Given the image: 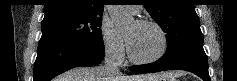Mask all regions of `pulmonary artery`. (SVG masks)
<instances>
[{"label": "pulmonary artery", "mask_w": 237, "mask_h": 81, "mask_svg": "<svg viewBox=\"0 0 237 81\" xmlns=\"http://www.w3.org/2000/svg\"><path fill=\"white\" fill-rule=\"evenodd\" d=\"M130 9H131L134 13H138V12H139V8L136 7V6H132Z\"/></svg>", "instance_id": "e3ab8cb5"}]
</instances>
